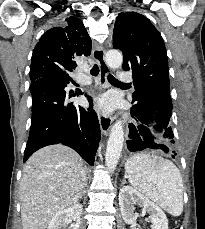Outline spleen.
I'll use <instances>...</instances> for the list:
<instances>
[{
	"mask_svg": "<svg viewBox=\"0 0 205 229\" xmlns=\"http://www.w3.org/2000/svg\"><path fill=\"white\" fill-rule=\"evenodd\" d=\"M130 184L166 212L180 216L183 211V181L179 169L162 157L135 154L125 163Z\"/></svg>",
	"mask_w": 205,
	"mask_h": 229,
	"instance_id": "3e777b00",
	"label": "spleen"
}]
</instances>
